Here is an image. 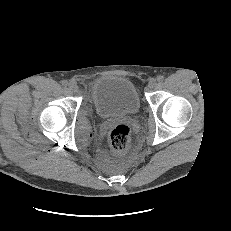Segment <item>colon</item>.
I'll use <instances>...</instances> for the list:
<instances>
[{
    "label": "colon",
    "instance_id": "colon-1",
    "mask_svg": "<svg viewBox=\"0 0 231 231\" xmlns=\"http://www.w3.org/2000/svg\"><path fill=\"white\" fill-rule=\"evenodd\" d=\"M130 139V128L126 124L113 126L108 134L109 145L116 152L126 150L130 144Z\"/></svg>",
    "mask_w": 231,
    "mask_h": 231
}]
</instances>
